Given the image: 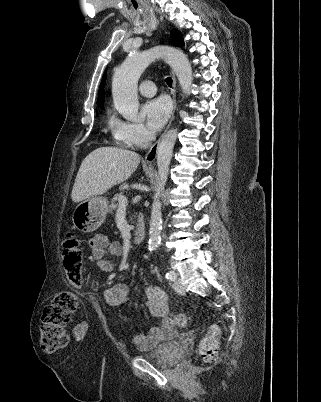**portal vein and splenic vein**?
<instances>
[{
  "mask_svg": "<svg viewBox=\"0 0 321 402\" xmlns=\"http://www.w3.org/2000/svg\"><path fill=\"white\" fill-rule=\"evenodd\" d=\"M128 204V200L125 196H121L118 200V206L119 207H126Z\"/></svg>",
  "mask_w": 321,
  "mask_h": 402,
  "instance_id": "1",
  "label": "portal vein and splenic vein"
}]
</instances>
